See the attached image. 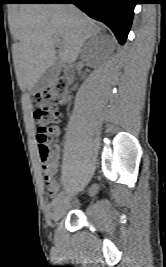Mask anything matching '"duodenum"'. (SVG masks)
Instances as JSON below:
<instances>
[{
  "instance_id": "obj_1",
  "label": "duodenum",
  "mask_w": 166,
  "mask_h": 267,
  "mask_svg": "<svg viewBox=\"0 0 166 267\" xmlns=\"http://www.w3.org/2000/svg\"><path fill=\"white\" fill-rule=\"evenodd\" d=\"M65 75H66V79H67V80H69V81L72 80V78H73V73H72L71 70H69V69L66 70V74H65Z\"/></svg>"
}]
</instances>
